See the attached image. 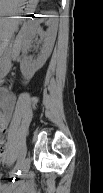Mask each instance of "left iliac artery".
Wrapping results in <instances>:
<instances>
[{"label":"left iliac artery","instance_id":"left-iliac-artery-1","mask_svg":"<svg viewBox=\"0 0 103 193\" xmlns=\"http://www.w3.org/2000/svg\"><path fill=\"white\" fill-rule=\"evenodd\" d=\"M26 152H27V148L26 146H23L22 149H21V152H20V155H19V159L17 161V164L14 168V171H19L24 159H25V156H26Z\"/></svg>","mask_w":103,"mask_h":193}]
</instances>
